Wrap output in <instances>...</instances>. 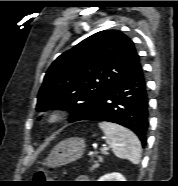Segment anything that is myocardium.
<instances>
[{
	"label": "myocardium",
	"mask_w": 178,
	"mask_h": 186,
	"mask_svg": "<svg viewBox=\"0 0 178 186\" xmlns=\"http://www.w3.org/2000/svg\"><path fill=\"white\" fill-rule=\"evenodd\" d=\"M65 117V112L62 109L55 108L46 112L42 116V121L48 126H54L60 123Z\"/></svg>",
	"instance_id": "1"
}]
</instances>
